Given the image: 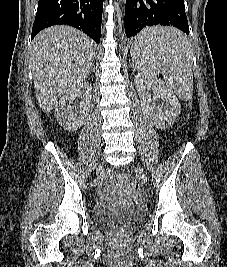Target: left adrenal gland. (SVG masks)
Here are the masks:
<instances>
[{"mask_svg": "<svg viewBox=\"0 0 227 267\" xmlns=\"http://www.w3.org/2000/svg\"><path fill=\"white\" fill-rule=\"evenodd\" d=\"M130 66L133 67V68H134V67L136 68V65H134V62H133Z\"/></svg>", "mask_w": 227, "mask_h": 267, "instance_id": "a2214340", "label": "left adrenal gland"}]
</instances>
